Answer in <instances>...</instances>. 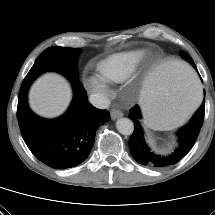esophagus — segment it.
Returning <instances> with one entry per match:
<instances>
[{"instance_id": "34e87169", "label": "esophagus", "mask_w": 215, "mask_h": 215, "mask_svg": "<svg viewBox=\"0 0 215 215\" xmlns=\"http://www.w3.org/2000/svg\"><path fill=\"white\" fill-rule=\"evenodd\" d=\"M110 115H111V118L113 120H115V119H117L119 117H122L123 113L120 110L112 109L111 112H110Z\"/></svg>"}]
</instances>
